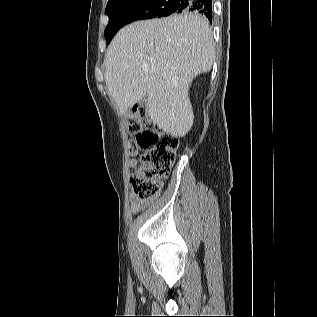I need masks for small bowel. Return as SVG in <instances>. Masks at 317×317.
<instances>
[{"mask_svg": "<svg viewBox=\"0 0 317 317\" xmlns=\"http://www.w3.org/2000/svg\"><path fill=\"white\" fill-rule=\"evenodd\" d=\"M148 205V201H140L134 196L130 199V206L133 213H137Z\"/></svg>", "mask_w": 317, "mask_h": 317, "instance_id": "c3829d8e", "label": "small bowel"}]
</instances>
